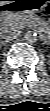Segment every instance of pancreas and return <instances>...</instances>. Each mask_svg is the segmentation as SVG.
<instances>
[{
	"mask_svg": "<svg viewBox=\"0 0 50 111\" xmlns=\"http://www.w3.org/2000/svg\"><path fill=\"white\" fill-rule=\"evenodd\" d=\"M32 19L35 20V17L32 15H16L5 19L3 22V26L10 29H21ZM37 28L39 30L43 29L42 20L37 21Z\"/></svg>",
	"mask_w": 50,
	"mask_h": 111,
	"instance_id": "1",
	"label": "pancreas"
}]
</instances>
